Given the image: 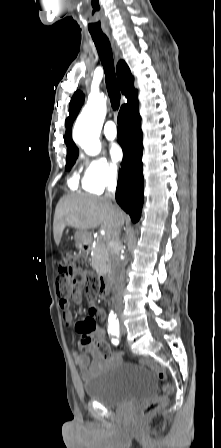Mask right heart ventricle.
<instances>
[{
	"instance_id": "e07e8e85",
	"label": "right heart ventricle",
	"mask_w": 221,
	"mask_h": 448,
	"mask_svg": "<svg viewBox=\"0 0 221 448\" xmlns=\"http://www.w3.org/2000/svg\"><path fill=\"white\" fill-rule=\"evenodd\" d=\"M68 185L72 188V189H77L79 186V179H78V174L75 172L71 175V177L68 180Z\"/></svg>"
}]
</instances>
